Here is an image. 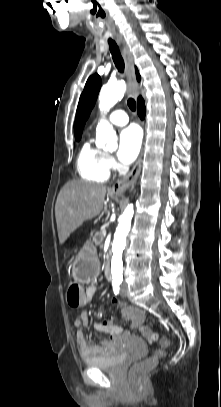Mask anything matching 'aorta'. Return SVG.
Listing matches in <instances>:
<instances>
[{
  "instance_id": "obj_1",
  "label": "aorta",
  "mask_w": 221,
  "mask_h": 407,
  "mask_svg": "<svg viewBox=\"0 0 221 407\" xmlns=\"http://www.w3.org/2000/svg\"><path fill=\"white\" fill-rule=\"evenodd\" d=\"M126 85L124 82H116L104 86L99 94V109L102 112L109 111L124 96ZM115 132L112 125L106 120H101L96 128V144L106 148L112 147ZM134 214L133 205L129 204L119 218L112 243L111 273L113 281H121L123 273L122 253L126 246V236L130 231L131 221Z\"/></svg>"
}]
</instances>
